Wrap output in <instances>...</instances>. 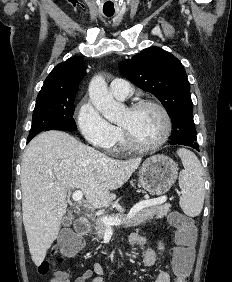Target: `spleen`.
I'll use <instances>...</instances> for the list:
<instances>
[{
    "instance_id": "obj_1",
    "label": "spleen",
    "mask_w": 232,
    "mask_h": 282,
    "mask_svg": "<svg viewBox=\"0 0 232 282\" xmlns=\"http://www.w3.org/2000/svg\"><path fill=\"white\" fill-rule=\"evenodd\" d=\"M177 154L184 166L179 176V186L182 189L180 206L186 215L195 217L201 213L204 203L203 169L196 155L190 150L181 148Z\"/></svg>"
}]
</instances>
